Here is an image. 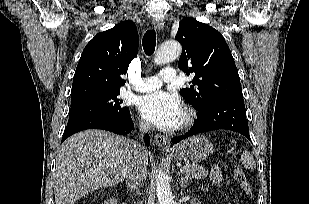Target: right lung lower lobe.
<instances>
[{
	"label": "right lung lower lobe",
	"instance_id": "right-lung-lower-lobe-1",
	"mask_svg": "<svg viewBox=\"0 0 309 204\" xmlns=\"http://www.w3.org/2000/svg\"><path fill=\"white\" fill-rule=\"evenodd\" d=\"M134 124L131 116L125 120L115 119L113 117L101 114H87L69 119L62 142L74 133L86 129H103L115 134L126 135L132 131ZM146 145H149V135L144 137Z\"/></svg>",
	"mask_w": 309,
	"mask_h": 204
}]
</instances>
